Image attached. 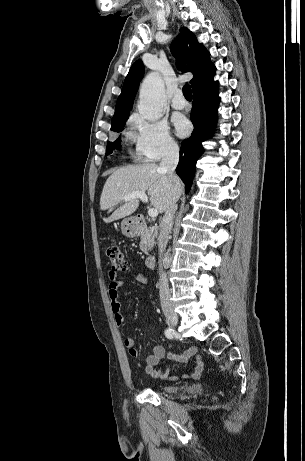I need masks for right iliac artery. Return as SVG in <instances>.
Listing matches in <instances>:
<instances>
[{"label":"right iliac artery","instance_id":"1","mask_svg":"<svg viewBox=\"0 0 305 461\" xmlns=\"http://www.w3.org/2000/svg\"><path fill=\"white\" fill-rule=\"evenodd\" d=\"M165 336L168 338V339H173L174 336H175V331L172 329V328H167L165 330Z\"/></svg>","mask_w":305,"mask_h":461}]
</instances>
